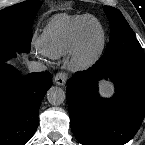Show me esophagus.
<instances>
[{"label": "esophagus", "mask_w": 145, "mask_h": 145, "mask_svg": "<svg viewBox=\"0 0 145 145\" xmlns=\"http://www.w3.org/2000/svg\"><path fill=\"white\" fill-rule=\"evenodd\" d=\"M66 80H67V76L64 72H59L54 77V83L59 86H63L66 83Z\"/></svg>", "instance_id": "1"}]
</instances>
